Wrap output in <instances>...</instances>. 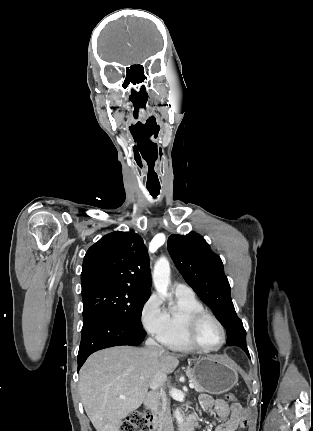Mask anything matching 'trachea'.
<instances>
[{
  "label": "trachea",
  "mask_w": 313,
  "mask_h": 431,
  "mask_svg": "<svg viewBox=\"0 0 313 431\" xmlns=\"http://www.w3.org/2000/svg\"><path fill=\"white\" fill-rule=\"evenodd\" d=\"M147 189L152 197H157L160 192V186H147Z\"/></svg>",
  "instance_id": "3493384b"
}]
</instances>
